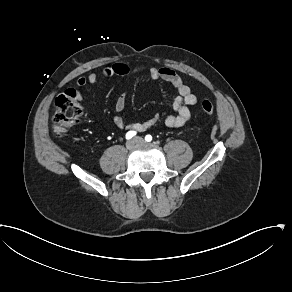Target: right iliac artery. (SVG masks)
<instances>
[{
  "label": "right iliac artery",
  "instance_id": "obj_1",
  "mask_svg": "<svg viewBox=\"0 0 292 292\" xmlns=\"http://www.w3.org/2000/svg\"><path fill=\"white\" fill-rule=\"evenodd\" d=\"M135 135H136V131H133V130L128 131V132L126 133V139L129 140V139H131L132 137H134Z\"/></svg>",
  "mask_w": 292,
  "mask_h": 292
}]
</instances>
